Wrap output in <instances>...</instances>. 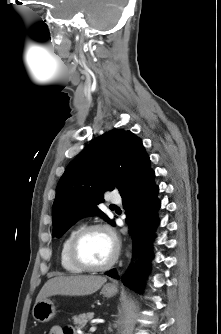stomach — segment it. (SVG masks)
Instances as JSON below:
<instances>
[{
    "label": "stomach",
    "mask_w": 221,
    "mask_h": 334,
    "mask_svg": "<svg viewBox=\"0 0 221 334\" xmlns=\"http://www.w3.org/2000/svg\"><path fill=\"white\" fill-rule=\"evenodd\" d=\"M117 293V287L113 284H106L101 290V294L106 298H111ZM56 314V308L54 303L50 299H43L35 303L32 309L33 318L40 322L45 323L54 318Z\"/></svg>",
    "instance_id": "1"
}]
</instances>
